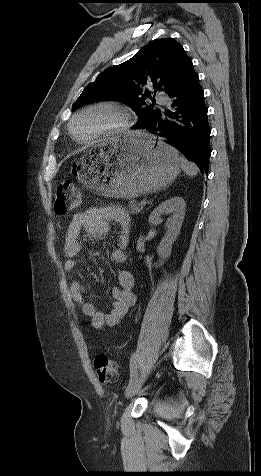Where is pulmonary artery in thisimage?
<instances>
[{
  "label": "pulmonary artery",
  "mask_w": 261,
  "mask_h": 476,
  "mask_svg": "<svg viewBox=\"0 0 261 476\" xmlns=\"http://www.w3.org/2000/svg\"><path fill=\"white\" fill-rule=\"evenodd\" d=\"M156 99L160 104L168 105L170 103L169 99L161 94H158Z\"/></svg>",
  "instance_id": "pulmonary-artery-1"
}]
</instances>
